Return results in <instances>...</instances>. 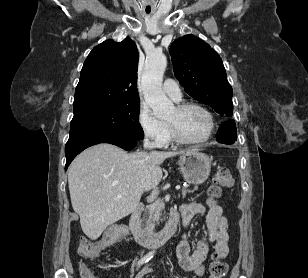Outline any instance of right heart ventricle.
Listing matches in <instances>:
<instances>
[{"label":"right heart ventricle","mask_w":308,"mask_h":278,"mask_svg":"<svg viewBox=\"0 0 308 278\" xmlns=\"http://www.w3.org/2000/svg\"><path fill=\"white\" fill-rule=\"evenodd\" d=\"M169 141H171V136H170V138H169Z\"/></svg>","instance_id":"obj_1"}]
</instances>
